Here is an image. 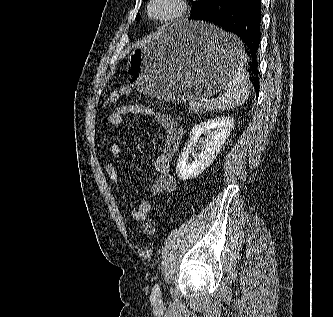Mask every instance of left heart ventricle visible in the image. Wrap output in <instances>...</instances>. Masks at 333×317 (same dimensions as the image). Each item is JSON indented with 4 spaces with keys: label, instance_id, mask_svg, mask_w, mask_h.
<instances>
[{
    "label": "left heart ventricle",
    "instance_id": "b2bd125f",
    "mask_svg": "<svg viewBox=\"0 0 333 317\" xmlns=\"http://www.w3.org/2000/svg\"><path fill=\"white\" fill-rule=\"evenodd\" d=\"M153 9L157 14H166L171 10V5L167 2H160L156 4Z\"/></svg>",
    "mask_w": 333,
    "mask_h": 317
}]
</instances>
